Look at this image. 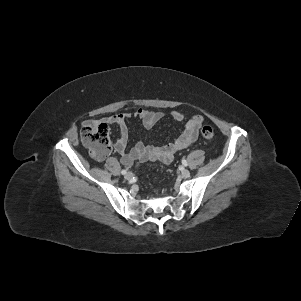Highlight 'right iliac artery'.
I'll list each match as a JSON object with an SVG mask.
<instances>
[{
    "mask_svg": "<svg viewBox=\"0 0 301 301\" xmlns=\"http://www.w3.org/2000/svg\"><path fill=\"white\" fill-rule=\"evenodd\" d=\"M121 173L124 175V174L127 173V171L126 170H122Z\"/></svg>",
    "mask_w": 301,
    "mask_h": 301,
    "instance_id": "obj_1",
    "label": "right iliac artery"
}]
</instances>
